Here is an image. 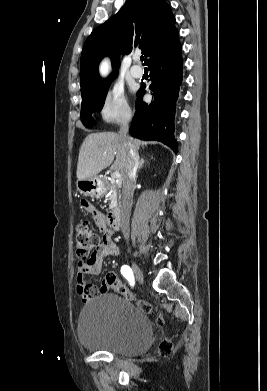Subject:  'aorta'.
<instances>
[{
  "label": "aorta",
  "instance_id": "aorta-1",
  "mask_svg": "<svg viewBox=\"0 0 267 391\" xmlns=\"http://www.w3.org/2000/svg\"><path fill=\"white\" fill-rule=\"evenodd\" d=\"M101 69L103 71L107 69V63L106 62L101 65Z\"/></svg>",
  "mask_w": 267,
  "mask_h": 391
}]
</instances>
